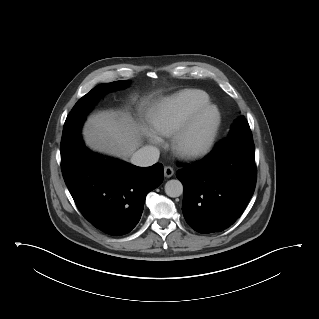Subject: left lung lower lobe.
<instances>
[{
	"label": "left lung lower lobe",
	"mask_w": 319,
	"mask_h": 319,
	"mask_svg": "<svg viewBox=\"0 0 319 319\" xmlns=\"http://www.w3.org/2000/svg\"><path fill=\"white\" fill-rule=\"evenodd\" d=\"M184 186L182 211L199 233L221 232L241 216L256 184L253 141L232 138L176 174Z\"/></svg>",
	"instance_id": "1"
}]
</instances>
